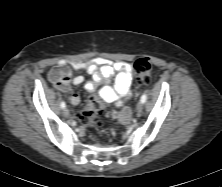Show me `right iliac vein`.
Instances as JSON below:
<instances>
[{
	"mask_svg": "<svg viewBox=\"0 0 222 187\" xmlns=\"http://www.w3.org/2000/svg\"><path fill=\"white\" fill-rule=\"evenodd\" d=\"M62 113H63L64 116H68L69 115V110L67 108H64Z\"/></svg>",
	"mask_w": 222,
	"mask_h": 187,
	"instance_id": "1",
	"label": "right iliac vein"
}]
</instances>
